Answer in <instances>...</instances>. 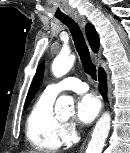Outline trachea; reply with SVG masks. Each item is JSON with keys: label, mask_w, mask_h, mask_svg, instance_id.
Instances as JSON below:
<instances>
[{"label": "trachea", "mask_w": 130, "mask_h": 153, "mask_svg": "<svg viewBox=\"0 0 130 153\" xmlns=\"http://www.w3.org/2000/svg\"><path fill=\"white\" fill-rule=\"evenodd\" d=\"M60 20L69 28L72 34L75 48L80 56L84 71L91 76L92 79L96 80V67L91 60L89 49L79 25L68 16L62 17Z\"/></svg>", "instance_id": "1"}]
</instances>
